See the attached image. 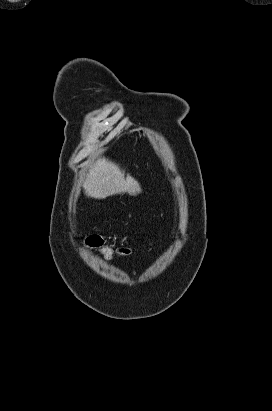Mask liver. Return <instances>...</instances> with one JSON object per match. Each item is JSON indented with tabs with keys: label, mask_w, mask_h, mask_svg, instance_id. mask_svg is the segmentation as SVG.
<instances>
[{
	"label": "liver",
	"mask_w": 272,
	"mask_h": 411,
	"mask_svg": "<svg viewBox=\"0 0 272 411\" xmlns=\"http://www.w3.org/2000/svg\"><path fill=\"white\" fill-rule=\"evenodd\" d=\"M85 194L95 199H105L108 196L128 193L137 195L141 187L130 174L125 172L108 159H99L89 170L83 184Z\"/></svg>",
	"instance_id": "liver-1"
}]
</instances>
